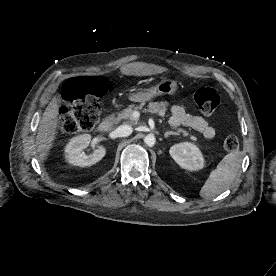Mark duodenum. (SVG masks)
Masks as SVG:
<instances>
[{"label": "duodenum", "mask_w": 276, "mask_h": 276, "mask_svg": "<svg viewBox=\"0 0 276 276\" xmlns=\"http://www.w3.org/2000/svg\"><path fill=\"white\" fill-rule=\"evenodd\" d=\"M111 127L112 120L108 118L99 123L97 130L99 133H106L111 129Z\"/></svg>", "instance_id": "duodenum-1"}]
</instances>
